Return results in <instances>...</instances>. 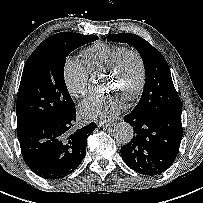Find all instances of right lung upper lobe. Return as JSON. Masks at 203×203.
Listing matches in <instances>:
<instances>
[{
	"instance_id": "1",
	"label": "right lung upper lobe",
	"mask_w": 203,
	"mask_h": 203,
	"mask_svg": "<svg viewBox=\"0 0 203 203\" xmlns=\"http://www.w3.org/2000/svg\"><path fill=\"white\" fill-rule=\"evenodd\" d=\"M68 32H61V33H57V34H54V35H51L50 37H48L46 40H44L41 44H45V43H48L50 41H53L61 36H63L64 34H66Z\"/></svg>"
}]
</instances>
